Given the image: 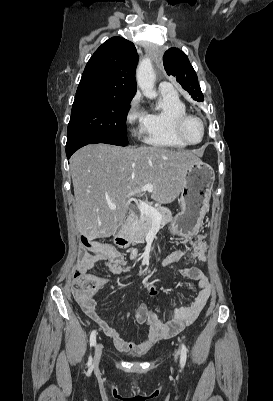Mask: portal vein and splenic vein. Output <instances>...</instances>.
<instances>
[{"label":"portal vein and splenic vein","mask_w":273,"mask_h":401,"mask_svg":"<svg viewBox=\"0 0 273 401\" xmlns=\"http://www.w3.org/2000/svg\"><path fill=\"white\" fill-rule=\"evenodd\" d=\"M144 190L152 192L153 184H144V186H141V188H137V190H132V192H130V196H132V194H135V192H144ZM110 209H116V205H110ZM138 209L139 211H141V213L147 215V217H151V219H153L155 223H160L162 217L161 215H159L158 211L154 209V207H149V205H146V203H143V201H139Z\"/></svg>","instance_id":"1"}]
</instances>
